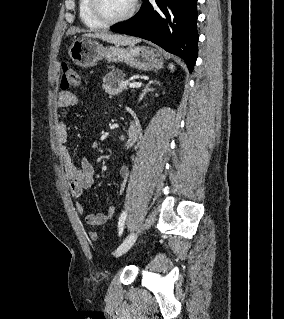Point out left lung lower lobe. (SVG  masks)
Wrapping results in <instances>:
<instances>
[{
  "label": "left lung lower lobe",
  "mask_w": 284,
  "mask_h": 319,
  "mask_svg": "<svg viewBox=\"0 0 284 319\" xmlns=\"http://www.w3.org/2000/svg\"><path fill=\"white\" fill-rule=\"evenodd\" d=\"M197 0H145L129 20L111 27L114 32L149 40L181 57L192 72L197 59Z\"/></svg>",
  "instance_id": "0a47b994"
}]
</instances>
